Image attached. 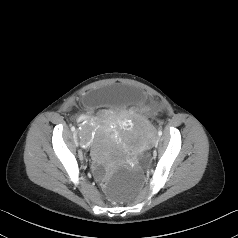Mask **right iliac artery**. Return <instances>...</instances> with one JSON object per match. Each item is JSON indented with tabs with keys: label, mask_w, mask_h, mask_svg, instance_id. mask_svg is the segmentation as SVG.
Masks as SVG:
<instances>
[{
	"label": "right iliac artery",
	"mask_w": 238,
	"mask_h": 238,
	"mask_svg": "<svg viewBox=\"0 0 238 238\" xmlns=\"http://www.w3.org/2000/svg\"><path fill=\"white\" fill-rule=\"evenodd\" d=\"M71 130H72V131H75V127H74V126H72V127H71Z\"/></svg>",
	"instance_id": "82829eb1"
}]
</instances>
